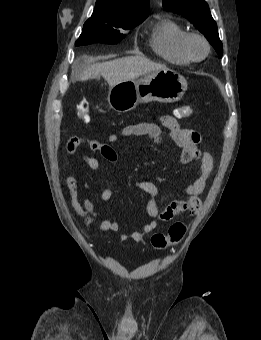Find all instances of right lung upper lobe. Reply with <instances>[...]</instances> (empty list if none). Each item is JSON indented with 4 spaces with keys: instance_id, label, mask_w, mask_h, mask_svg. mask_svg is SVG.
<instances>
[{
    "instance_id": "obj_1",
    "label": "right lung upper lobe",
    "mask_w": 261,
    "mask_h": 340,
    "mask_svg": "<svg viewBox=\"0 0 261 340\" xmlns=\"http://www.w3.org/2000/svg\"><path fill=\"white\" fill-rule=\"evenodd\" d=\"M94 13L114 19H146L149 0H97Z\"/></svg>"
}]
</instances>
